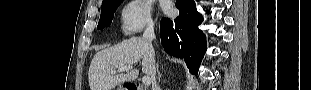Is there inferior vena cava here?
Segmentation results:
<instances>
[{
    "label": "inferior vena cava",
    "mask_w": 311,
    "mask_h": 90,
    "mask_svg": "<svg viewBox=\"0 0 311 90\" xmlns=\"http://www.w3.org/2000/svg\"><path fill=\"white\" fill-rule=\"evenodd\" d=\"M143 38L147 41H145L143 43V46L145 48H148L146 50V53H147V60H150L149 61V64L153 67L152 69V74H151V78H152V82H153V85L155 87L156 86V67H155V64H156V53H155V50L153 48H150L152 46V41L154 40L155 38V33H154V25L153 24H150L149 26H147L144 34H143Z\"/></svg>",
    "instance_id": "inferior-vena-cava-1"
}]
</instances>
